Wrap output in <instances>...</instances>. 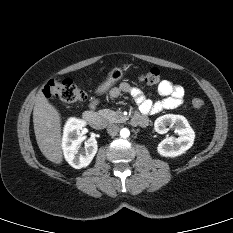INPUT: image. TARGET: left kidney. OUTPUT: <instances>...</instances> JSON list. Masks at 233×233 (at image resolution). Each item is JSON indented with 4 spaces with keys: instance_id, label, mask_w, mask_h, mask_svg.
<instances>
[{
    "instance_id": "left-kidney-1",
    "label": "left kidney",
    "mask_w": 233,
    "mask_h": 233,
    "mask_svg": "<svg viewBox=\"0 0 233 233\" xmlns=\"http://www.w3.org/2000/svg\"><path fill=\"white\" fill-rule=\"evenodd\" d=\"M155 131L164 134L169 128H174L178 138L167 137L157 147V151L164 157H176L185 153L192 147L195 139V132L187 119L182 115L166 114L156 119ZM169 127V128H168Z\"/></svg>"
}]
</instances>
